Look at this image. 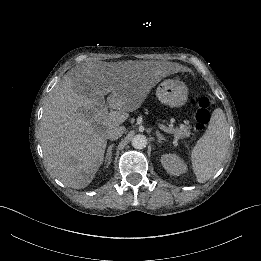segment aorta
I'll list each match as a JSON object with an SVG mask.
<instances>
[{
  "label": "aorta",
  "mask_w": 261,
  "mask_h": 261,
  "mask_svg": "<svg viewBox=\"0 0 261 261\" xmlns=\"http://www.w3.org/2000/svg\"><path fill=\"white\" fill-rule=\"evenodd\" d=\"M131 144L135 149H143L147 145V139L144 135H135L132 138Z\"/></svg>",
  "instance_id": "1"
}]
</instances>
